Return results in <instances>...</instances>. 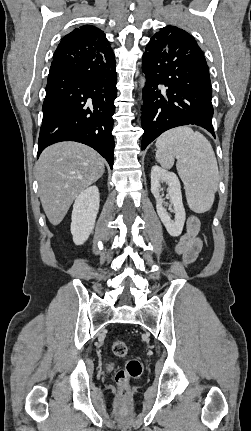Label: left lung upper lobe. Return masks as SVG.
<instances>
[{
  "label": "left lung upper lobe",
  "instance_id": "1",
  "mask_svg": "<svg viewBox=\"0 0 251 431\" xmlns=\"http://www.w3.org/2000/svg\"><path fill=\"white\" fill-rule=\"evenodd\" d=\"M159 35H165V36H169L171 37L173 40H182L186 37H191V35H189L186 31L174 27V26H166L162 29H160L159 32H157L154 37L159 36Z\"/></svg>",
  "mask_w": 251,
  "mask_h": 431
}]
</instances>
